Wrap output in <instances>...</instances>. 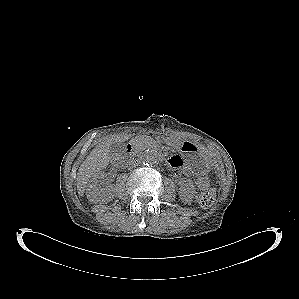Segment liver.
Returning a JSON list of instances; mask_svg holds the SVG:
<instances>
[{"label":"liver","mask_w":299,"mask_h":299,"mask_svg":"<svg viewBox=\"0 0 299 299\" xmlns=\"http://www.w3.org/2000/svg\"><path fill=\"white\" fill-rule=\"evenodd\" d=\"M130 138L129 135L114 134L104 137L101 142L90 151V154L79 167L77 173V190L79 195H83L86 185L91 177L99 171L106 168L114 156L111 154L110 148L112 144L122 143Z\"/></svg>","instance_id":"1"}]
</instances>
